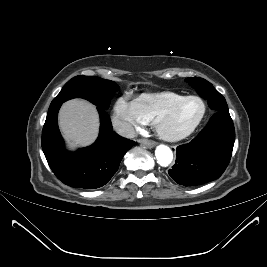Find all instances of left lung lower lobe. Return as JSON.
I'll return each instance as SVG.
<instances>
[{"label": "left lung lower lobe", "mask_w": 267, "mask_h": 267, "mask_svg": "<svg viewBox=\"0 0 267 267\" xmlns=\"http://www.w3.org/2000/svg\"><path fill=\"white\" fill-rule=\"evenodd\" d=\"M235 141L228 110H218L190 143L178 146L176 163L168 171L180 185L195 186L219 178L231 159Z\"/></svg>", "instance_id": "1"}]
</instances>
